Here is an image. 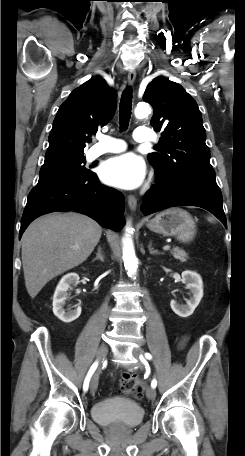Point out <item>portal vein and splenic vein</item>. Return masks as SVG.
I'll return each instance as SVG.
<instances>
[{
	"instance_id": "18ae733b",
	"label": "portal vein and splenic vein",
	"mask_w": 245,
	"mask_h": 456,
	"mask_svg": "<svg viewBox=\"0 0 245 456\" xmlns=\"http://www.w3.org/2000/svg\"><path fill=\"white\" fill-rule=\"evenodd\" d=\"M169 249H170V245H165V246L163 247V250H164V251H167V250H169Z\"/></svg>"
}]
</instances>
